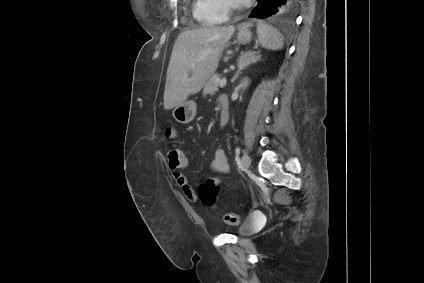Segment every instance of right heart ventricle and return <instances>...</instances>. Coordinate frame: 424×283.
Masks as SVG:
<instances>
[{
    "label": "right heart ventricle",
    "mask_w": 424,
    "mask_h": 283,
    "mask_svg": "<svg viewBox=\"0 0 424 283\" xmlns=\"http://www.w3.org/2000/svg\"><path fill=\"white\" fill-rule=\"evenodd\" d=\"M193 16L207 27L219 25L226 19V14L220 10L216 0H194Z\"/></svg>",
    "instance_id": "right-heart-ventricle-1"
}]
</instances>
